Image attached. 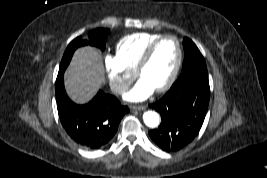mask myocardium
<instances>
[{
	"instance_id": "myocardium-1",
	"label": "myocardium",
	"mask_w": 267,
	"mask_h": 178,
	"mask_svg": "<svg viewBox=\"0 0 267 178\" xmlns=\"http://www.w3.org/2000/svg\"><path fill=\"white\" fill-rule=\"evenodd\" d=\"M167 38H172L173 40H175L176 45H177L178 54H177V60H176L175 66H174L169 78L167 79V81L162 86H160L159 88L155 89V91L158 92V93H161V92H164V91L168 90L173 85V83L175 82V80H176V78L178 76V73H179V70L181 68L182 61H183V48H182V44H181L180 39L174 34H165V35H162L161 37H159L158 39H156L155 41H153L147 47L145 52L143 53L142 57L140 58V60L138 62L136 70H135L136 76L140 77V74H141L142 70L147 66V64L151 60V58L153 56V53H154L155 49L157 48V46L163 40H165Z\"/></svg>"
}]
</instances>
